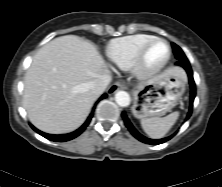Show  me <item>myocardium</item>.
<instances>
[{
	"instance_id": "obj_1",
	"label": "myocardium",
	"mask_w": 222,
	"mask_h": 187,
	"mask_svg": "<svg viewBox=\"0 0 222 187\" xmlns=\"http://www.w3.org/2000/svg\"><path fill=\"white\" fill-rule=\"evenodd\" d=\"M157 43H163L167 46V55L161 63L151 66L149 65L147 60L148 54L151 51L152 47ZM171 54L172 50L168 41L162 38H154L142 47L132 67V71L138 78H152L160 73L167 66L171 59Z\"/></svg>"
}]
</instances>
